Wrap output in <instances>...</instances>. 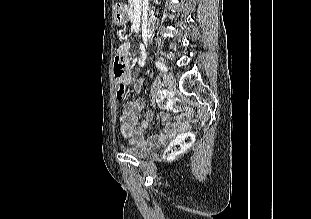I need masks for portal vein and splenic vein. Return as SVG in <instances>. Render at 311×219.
Returning <instances> with one entry per match:
<instances>
[{
  "label": "portal vein and splenic vein",
  "instance_id": "portal-vein-and-splenic-vein-1",
  "mask_svg": "<svg viewBox=\"0 0 311 219\" xmlns=\"http://www.w3.org/2000/svg\"><path fill=\"white\" fill-rule=\"evenodd\" d=\"M134 3L136 8H141L142 0H134Z\"/></svg>",
  "mask_w": 311,
  "mask_h": 219
}]
</instances>
